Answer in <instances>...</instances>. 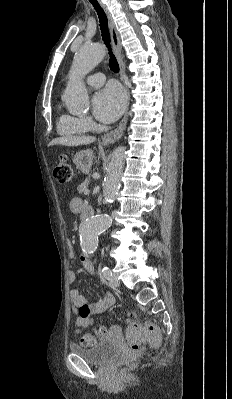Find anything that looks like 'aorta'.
Returning a JSON list of instances; mask_svg holds the SVG:
<instances>
[{"mask_svg":"<svg viewBox=\"0 0 232 399\" xmlns=\"http://www.w3.org/2000/svg\"><path fill=\"white\" fill-rule=\"evenodd\" d=\"M105 56V49L100 44L84 45L75 54L70 70V80L62 100L72 112L88 109L89 97L84 84V77L95 68ZM125 148H116L109 162L103 182V194L108 203H113L118 193L119 177L122 174ZM111 225L107 214L89 217L79 227L81 247L85 253H94L98 247V236Z\"/></svg>","mask_w":232,"mask_h":399,"instance_id":"1","label":"aorta"}]
</instances>
